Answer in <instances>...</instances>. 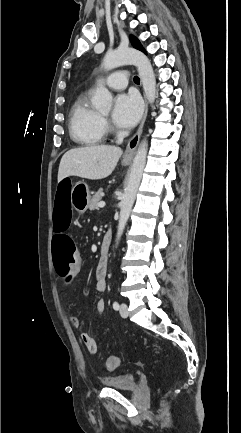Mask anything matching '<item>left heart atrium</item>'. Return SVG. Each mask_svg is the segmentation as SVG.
Returning <instances> with one entry per match:
<instances>
[{"label":"left heart atrium","mask_w":241,"mask_h":433,"mask_svg":"<svg viewBox=\"0 0 241 433\" xmlns=\"http://www.w3.org/2000/svg\"><path fill=\"white\" fill-rule=\"evenodd\" d=\"M142 108L141 98L136 93L120 94L114 102L112 119L121 128H131L138 122Z\"/></svg>","instance_id":"obj_1"}]
</instances>
